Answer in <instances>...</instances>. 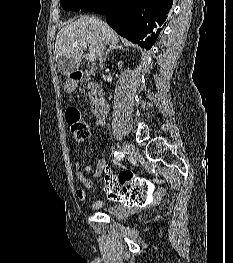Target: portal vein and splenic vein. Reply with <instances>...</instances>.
Here are the masks:
<instances>
[{"mask_svg": "<svg viewBox=\"0 0 233 263\" xmlns=\"http://www.w3.org/2000/svg\"><path fill=\"white\" fill-rule=\"evenodd\" d=\"M77 45H80L82 46L84 49H87V45L85 42H79ZM96 59V56L93 55V54H89L87 55V60L91 61V62H94Z\"/></svg>", "mask_w": 233, "mask_h": 263, "instance_id": "1", "label": "portal vein and splenic vein"}]
</instances>
